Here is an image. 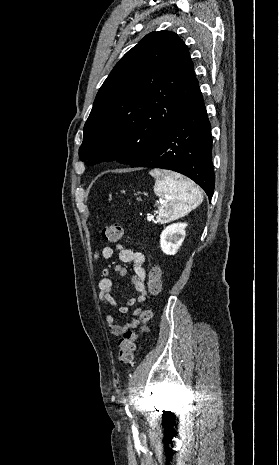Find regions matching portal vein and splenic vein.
<instances>
[{"label":"portal vein and splenic vein","instance_id":"1","mask_svg":"<svg viewBox=\"0 0 279 465\" xmlns=\"http://www.w3.org/2000/svg\"><path fill=\"white\" fill-rule=\"evenodd\" d=\"M152 218H153V216H149V215L147 216V220H149V221H150Z\"/></svg>","mask_w":279,"mask_h":465}]
</instances>
